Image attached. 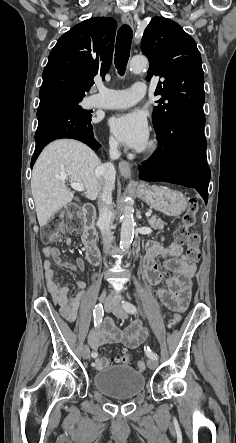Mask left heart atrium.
<instances>
[{
  "instance_id": "obj_1",
  "label": "left heart atrium",
  "mask_w": 236,
  "mask_h": 443,
  "mask_svg": "<svg viewBox=\"0 0 236 443\" xmlns=\"http://www.w3.org/2000/svg\"><path fill=\"white\" fill-rule=\"evenodd\" d=\"M107 127L117 142L129 148L142 150L148 144L149 127L140 112L114 114L108 118Z\"/></svg>"
}]
</instances>
